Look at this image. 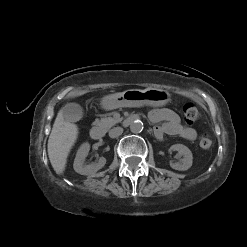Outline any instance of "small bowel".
I'll use <instances>...</instances> for the list:
<instances>
[{
  "mask_svg": "<svg viewBox=\"0 0 247 247\" xmlns=\"http://www.w3.org/2000/svg\"><path fill=\"white\" fill-rule=\"evenodd\" d=\"M149 119L153 123H162L154 129V134L158 139H162L165 134L179 136L186 140H194L197 136L195 129L182 124L179 116L170 109L151 110Z\"/></svg>",
  "mask_w": 247,
  "mask_h": 247,
  "instance_id": "small-bowel-1",
  "label": "small bowel"
}]
</instances>
